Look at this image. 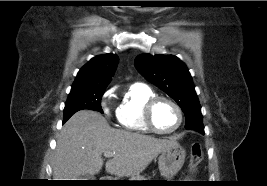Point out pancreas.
Instances as JSON below:
<instances>
[{
	"mask_svg": "<svg viewBox=\"0 0 267 186\" xmlns=\"http://www.w3.org/2000/svg\"><path fill=\"white\" fill-rule=\"evenodd\" d=\"M133 178L137 181H147V178H145L144 176H141L139 174L134 175Z\"/></svg>",
	"mask_w": 267,
	"mask_h": 186,
	"instance_id": "obj_1",
	"label": "pancreas"
}]
</instances>
